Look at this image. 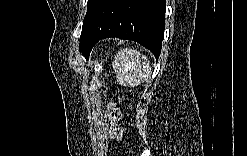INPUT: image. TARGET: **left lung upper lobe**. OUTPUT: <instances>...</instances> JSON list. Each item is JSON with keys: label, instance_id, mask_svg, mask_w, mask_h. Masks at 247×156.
I'll list each match as a JSON object with an SVG mask.
<instances>
[{"label": "left lung upper lobe", "instance_id": "obj_1", "mask_svg": "<svg viewBox=\"0 0 247 156\" xmlns=\"http://www.w3.org/2000/svg\"><path fill=\"white\" fill-rule=\"evenodd\" d=\"M104 1L105 0H88L87 13L83 21V27H82L81 37H80V46H79L80 52H83L85 48L86 31L89 25L91 24V22L93 21V19L95 18L97 11L101 7V5L104 3Z\"/></svg>", "mask_w": 247, "mask_h": 156}]
</instances>
